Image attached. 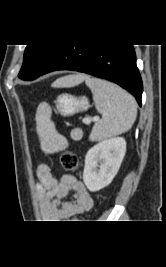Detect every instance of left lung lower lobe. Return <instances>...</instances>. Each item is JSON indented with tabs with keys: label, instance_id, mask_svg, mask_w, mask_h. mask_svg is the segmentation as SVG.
Segmentation results:
<instances>
[{
	"label": "left lung lower lobe",
	"instance_id": "0a47b994",
	"mask_svg": "<svg viewBox=\"0 0 166 267\" xmlns=\"http://www.w3.org/2000/svg\"><path fill=\"white\" fill-rule=\"evenodd\" d=\"M58 70L110 80L129 91L141 106L143 85L133 45H62L39 76Z\"/></svg>",
	"mask_w": 166,
	"mask_h": 267
}]
</instances>
